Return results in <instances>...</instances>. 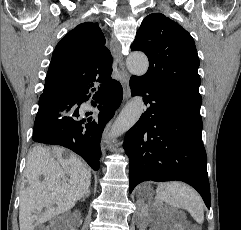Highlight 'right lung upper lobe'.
<instances>
[{
	"instance_id": "1",
	"label": "right lung upper lobe",
	"mask_w": 241,
	"mask_h": 230,
	"mask_svg": "<svg viewBox=\"0 0 241 230\" xmlns=\"http://www.w3.org/2000/svg\"><path fill=\"white\" fill-rule=\"evenodd\" d=\"M112 56L98 23L85 22L69 31L52 54L39 99L54 102L89 93L94 85L112 83Z\"/></svg>"
}]
</instances>
